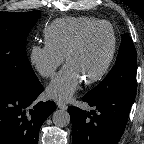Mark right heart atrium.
I'll use <instances>...</instances> for the list:
<instances>
[{"label":"right heart atrium","instance_id":"obj_1","mask_svg":"<svg viewBox=\"0 0 144 144\" xmlns=\"http://www.w3.org/2000/svg\"><path fill=\"white\" fill-rule=\"evenodd\" d=\"M29 61L42 77L52 78L56 70L62 65L64 57L46 44H35L30 48Z\"/></svg>","mask_w":144,"mask_h":144}]
</instances>
